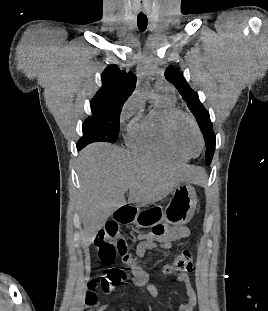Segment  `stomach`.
<instances>
[{
  "mask_svg": "<svg viewBox=\"0 0 268 311\" xmlns=\"http://www.w3.org/2000/svg\"><path fill=\"white\" fill-rule=\"evenodd\" d=\"M196 203L194 187L188 182L180 183L172 192L167 212L161 213L160 208L157 207L147 210L137 208L133 223L141 228L152 227L160 221H166L174 226H182L193 217Z\"/></svg>",
  "mask_w": 268,
  "mask_h": 311,
  "instance_id": "1",
  "label": "stomach"
}]
</instances>
